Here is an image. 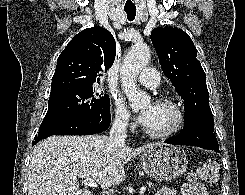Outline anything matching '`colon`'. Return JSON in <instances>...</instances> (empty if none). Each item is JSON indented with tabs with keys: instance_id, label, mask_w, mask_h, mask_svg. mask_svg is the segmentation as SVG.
<instances>
[{
	"instance_id": "1",
	"label": "colon",
	"mask_w": 245,
	"mask_h": 195,
	"mask_svg": "<svg viewBox=\"0 0 245 195\" xmlns=\"http://www.w3.org/2000/svg\"><path fill=\"white\" fill-rule=\"evenodd\" d=\"M200 179L209 184H217L219 181V163L216 159L206 160L195 173L189 176V183L183 187L184 195H201V184L197 181Z\"/></svg>"
}]
</instances>
